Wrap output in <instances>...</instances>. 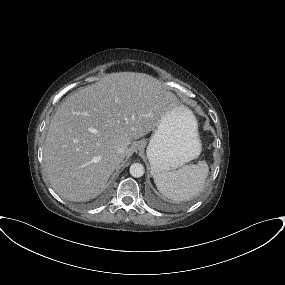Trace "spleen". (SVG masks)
Here are the masks:
<instances>
[{"label": "spleen", "instance_id": "spleen-1", "mask_svg": "<svg viewBox=\"0 0 285 285\" xmlns=\"http://www.w3.org/2000/svg\"><path fill=\"white\" fill-rule=\"evenodd\" d=\"M208 174V164L199 161L198 164L185 165L176 171L155 173L153 178L165 197L181 202L190 200L203 190Z\"/></svg>", "mask_w": 285, "mask_h": 285}]
</instances>
